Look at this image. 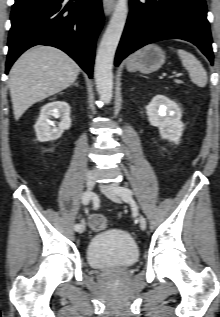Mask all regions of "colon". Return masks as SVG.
<instances>
[{"label":"colon","mask_w":220,"mask_h":317,"mask_svg":"<svg viewBox=\"0 0 220 317\" xmlns=\"http://www.w3.org/2000/svg\"><path fill=\"white\" fill-rule=\"evenodd\" d=\"M89 226L93 231L99 232L107 228L108 222L104 216L93 214L89 217Z\"/></svg>","instance_id":"5ec220e1"}]
</instances>
